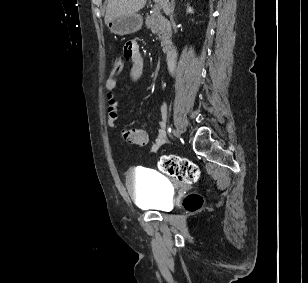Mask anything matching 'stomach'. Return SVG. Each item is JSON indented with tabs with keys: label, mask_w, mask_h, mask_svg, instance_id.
<instances>
[{
	"label": "stomach",
	"mask_w": 308,
	"mask_h": 283,
	"mask_svg": "<svg viewBox=\"0 0 308 283\" xmlns=\"http://www.w3.org/2000/svg\"><path fill=\"white\" fill-rule=\"evenodd\" d=\"M143 24L142 17L139 14L123 15L116 17L107 24L109 30L116 35H127L135 33L141 29Z\"/></svg>",
	"instance_id": "1"
}]
</instances>
